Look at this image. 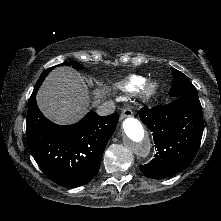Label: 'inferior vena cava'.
Instances as JSON below:
<instances>
[{"label": "inferior vena cava", "mask_w": 221, "mask_h": 221, "mask_svg": "<svg viewBox=\"0 0 221 221\" xmlns=\"http://www.w3.org/2000/svg\"><path fill=\"white\" fill-rule=\"evenodd\" d=\"M114 111H115V103L112 100H110L98 106L96 113L100 116H106L114 113Z\"/></svg>", "instance_id": "inferior-vena-cava-1"}]
</instances>
